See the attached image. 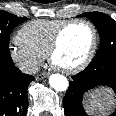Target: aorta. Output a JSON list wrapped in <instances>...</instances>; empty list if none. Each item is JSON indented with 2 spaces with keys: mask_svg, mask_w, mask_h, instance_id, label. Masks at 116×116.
Masks as SVG:
<instances>
[{
  "mask_svg": "<svg viewBox=\"0 0 116 116\" xmlns=\"http://www.w3.org/2000/svg\"><path fill=\"white\" fill-rule=\"evenodd\" d=\"M49 83L54 90L60 92L67 90L69 85L67 78L61 74L50 75Z\"/></svg>",
  "mask_w": 116,
  "mask_h": 116,
  "instance_id": "aorta-1",
  "label": "aorta"
}]
</instances>
